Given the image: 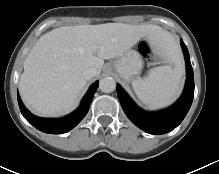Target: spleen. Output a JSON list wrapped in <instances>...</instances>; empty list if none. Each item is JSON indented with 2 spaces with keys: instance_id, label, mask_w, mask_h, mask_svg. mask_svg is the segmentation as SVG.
Wrapping results in <instances>:
<instances>
[{
  "instance_id": "1",
  "label": "spleen",
  "mask_w": 219,
  "mask_h": 174,
  "mask_svg": "<svg viewBox=\"0 0 219 174\" xmlns=\"http://www.w3.org/2000/svg\"><path fill=\"white\" fill-rule=\"evenodd\" d=\"M183 72L179 66L164 65L149 70L143 79L132 81V87L142 103L158 109L174 102L182 91Z\"/></svg>"
}]
</instances>
